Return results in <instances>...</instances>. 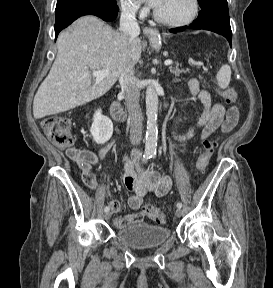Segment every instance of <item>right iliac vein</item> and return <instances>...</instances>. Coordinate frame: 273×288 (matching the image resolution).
I'll return each instance as SVG.
<instances>
[{"label": "right iliac vein", "mask_w": 273, "mask_h": 288, "mask_svg": "<svg viewBox=\"0 0 273 288\" xmlns=\"http://www.w3.org/2000/svg\"><path fill=\"white\" fill-rule=\"evenodd\" d=\"M104 218H105L106 220H109V219L111 218V213H110L109 211H108V212H105Z\"/></svg>", "instance_id": "obj_1"}]
</instances>
